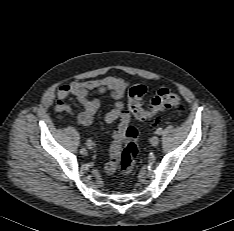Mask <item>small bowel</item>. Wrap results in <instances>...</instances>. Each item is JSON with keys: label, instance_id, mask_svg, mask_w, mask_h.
Returning <instances> with one entry per match:
<instances>
[{"label": "small bowel", "instance_id": "c3829d8e", "mask_svg": "<svg viewBox=\"0 0 234 231\" xmlns=\"http://www.w3.org/2000/svg\"><path fill=\"white\" fill-rule=\"evenodd\" d=\"M128 87V81L115 76H106L96 80L73 81L59 87L55 111L59 113L67 112L74 115L73 109L67 103L68 97L74 96L83 107V111L76 116L77 120L81 125L89 126L100 106L99 99L91 98L90 94L92 92L109 93L114 101V106L105 115V121L112 123L120 119L122 123H128L129 116L124 111V97ZM115 169L116 166L112 160L104 166V172L107 174L114 173Z\"/></svg>", "mask_w": 234, "mask_h": 231}]
</instances>
